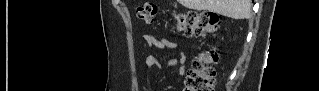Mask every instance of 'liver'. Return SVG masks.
<instances>
[{
	"instance_id": "1",
	"label": "liver",
	"mask_w": 319,
	"mask_h": 91,
	"mask_svg": "<svg viewBox=\"0 0 319 91\" xmlns=\"http://www.w3.org/2000/svg\"><path fill=\"white\" fill-rule=\"evenodd\" d=\"M188 9L208 10L232 19H244L251 15V0H179Z\"/></svg>"
}]
</instances>
